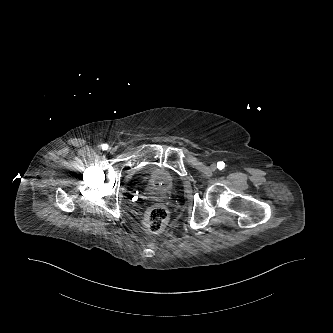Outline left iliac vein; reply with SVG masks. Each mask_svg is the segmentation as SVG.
Here are the masks:
<instances>
[{"label":"left iliac vein","instance_id":"1","mask_svg":"<svg viewBox=\"0 0 333 333\" xmlns=\"http://www.w3.org/2000/svg\"><path fill=\"white\" fill-rule=\"evenodd\" d=\"M210 168H211L212 170H216V168H217V164H216V163H212V164L210 165Z\"/></svg>","mask_w":333,"mask_h":333}]
</instances>
